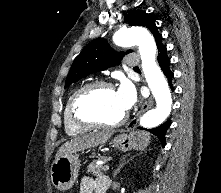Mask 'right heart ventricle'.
<instances>
[{
	"label": "right heart ventricle",
	"mask_w": 221,
	"mask_h": 193,
	"mask_svg": "<svg viewBox=\"0 0 221 193\" xmlns=\"http://www.w3.org/2000/svg\"><path fill=\"white\" fill-rule=\"evenodd\" d=\"M76 91L77 89L74 90L72 94L69 96L64 109V129L69 136L81 135L89 130V128L87 127H83L76 124L71 117L69 105Z\"/></svg>",
	"instance_id": "right-heart-ventricle-1"
}]
</instances>
